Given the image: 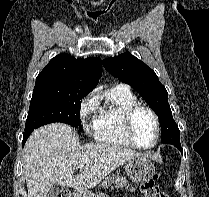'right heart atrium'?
<instances>
[{
	"mask_svg": "<svg viewBox=\"0 0 209 197\" xmlns=\"http://www.w3.org/2000/svg\"><path fill=\"white\" fill-rule=\"evenodd\" d=\"M99 101L95 93L88 94L81 102L80 117L85 122L90 116L98 111Z\"/></svg>",
	"mask_w": 209,
	"mask_h": 197,
	"instance_id": "obj_1",
	"label": "right heart atrium"
}]
</instances>
